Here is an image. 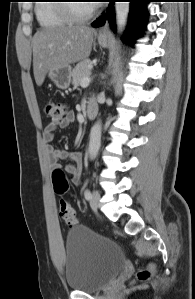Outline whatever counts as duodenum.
<instances>
[{
    "label": "duodenum",
    "mask_w": 195,
    "mask_h": 299,
    "mask_svg": "<svg viewBox=\"0 0 195 299\" xmlns=\"http://www.w3.org/2000/svg\"><path fill=\"white\" fill-rule=\"evenodd\" d=\"M97 104L94 102H89L88 105L86 106V118L88 120H93L96 117L97 114Z\"/></svg>",
    "instance_id": "1"
}]
</instances>
